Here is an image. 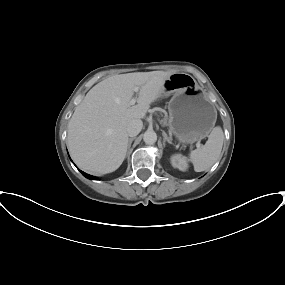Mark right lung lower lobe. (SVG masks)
<instances>
[{
  "label": "right lung lower lobe",
  "instance_id": "right-lung-lower-lobe-1",
  "mask_svg": "<svg viewBox=\"0 0 285 285\" xmlns=\"http://www.w3.org/2000/svg\"><path fill=\"white\" fill-rule=\"evenodd\" d=\"M80 172L82 173L83 176H85L88 179H95V177H93V176H91V175H89V174H87V173H85L83 171H80Z\"/></svg>",
  "mask_w": 285,
  "mask_h": 285
}]
</instances>
